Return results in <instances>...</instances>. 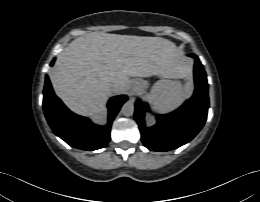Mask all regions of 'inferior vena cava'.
Wrapping results in <instances>:
<instances>
[{
  "label": "inferior vena cava",
  "instance_id": "inferior-vena-cava-1",
  "mask_svg": "<svg viewBox=\"0 0 260 202\" xmlns=\"http://www.w3.org/2000/svg\"><path fill=\"white\" fill-rule=\"evenodd\" d=\"M111 88H112V90H114V91H115V90H117V89H118V85H117V84H112V85H111Z\"/></svg>",
  "mask_w": 260,
  "mask_h": 202
}]
</instances>
